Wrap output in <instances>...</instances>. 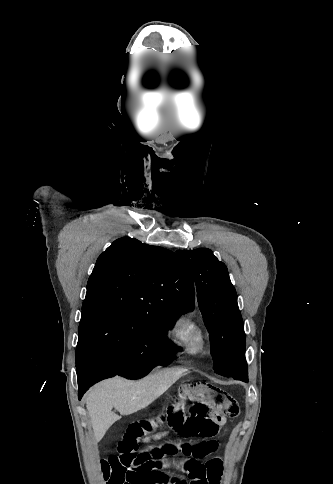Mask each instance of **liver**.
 Masks as SVG:
<instances>
[{"label":"liver","instance_id":"liver-1","mask_svg":"<svg viewBox=\"0 0 333 484\" xmlns=\"http://www.w3.org/2000/svg\"><path fill=\"white\" fill-rule=\"evenodd\" d=\"M185 371L169 368L139 381L116 376L94 385L88 391L85 401L96 442L121 418L112 412L113 407L121 415L135 413L160 397Z\"/></svg>","mask_w":333,"mask_h":484}]
</instances>
